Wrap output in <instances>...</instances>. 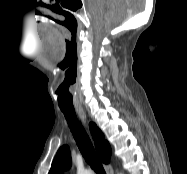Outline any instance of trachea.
I'll return each instance as SVG.
<instances>
[{
    "mask_svg": "<svg viewBox=\"0 0 187 174\" xmlns=\"http://www.w3.org/2000/svg\"><path fill=\"white\" fill-rule=\"evenodd\" d=\"M73 137L86 162L97 174H106L85 129L79 122L75 110L61 108Z\"/></svg>",
    "mask_w": 187,
    "mask_h": 174,
    "instance_id": "trachea-1",
    "label": "trachea"
}]
</instances>
